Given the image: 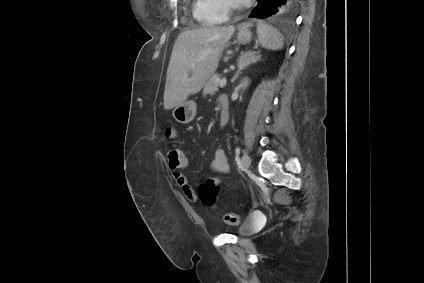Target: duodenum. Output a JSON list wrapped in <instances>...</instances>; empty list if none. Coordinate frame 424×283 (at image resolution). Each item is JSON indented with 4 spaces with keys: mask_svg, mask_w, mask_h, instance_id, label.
<instances>
[{
    "mask_svg": "<svg viewBox=\"0 0 424 283\" xmlns=\"http://www.w3.org/2000/svg\"><path fill=\"white\" fill-rule=\"evenodd\" d=\"M220 110V124L224 126L229 118V102L225 97H222L220 100Z\"/></svg>",
    "mask_w": 424,
    "mask_h": 283,
    "instance_id": "duodenum-1",
    "label": "duodenum"
}]
</instances>
